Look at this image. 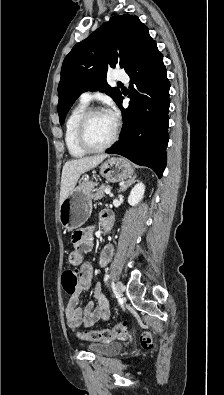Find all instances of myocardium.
<instances>
[{
  "label": "myocardium",
  "mask_w": 224,
  "mask_h": 395,
  "mask_svg": "<svg viewBox=\"0 0 224 395\" xmlns=\"http://www.w3.org/2000/svg\"><path fill=\"white\" fill-rule=\"evenodd\" d=\"M105 111L99 107H92L87 109L83 115L81 116L78 125H77V140L82 149H84L88 153H98L102 152L109 147H111L117 140L119 135L120 124L118 121H115V128L111 138L102 146H93L87 139V125L90 118L98 113H104Z\"/></svg>",
  "instance_id": "1"
}]
</instances>
